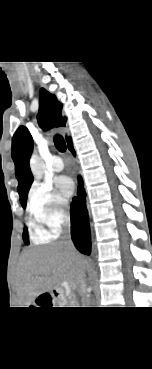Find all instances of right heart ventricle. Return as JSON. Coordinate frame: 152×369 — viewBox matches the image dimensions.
<instances>
[{
	"label": "right heart ventricle",
	"instance_id": "e07e8e85",
	"mask_svg": "<svg viewBox=\"0 0 152 369\" xmlns=\"http://www.w3.org/2000/svg\"><path fill=\"white\" fill-rule=\"evenodd\" d=\"M30 225H31V228L33 230V234L36 240L44 241L52 237V236L47 235L34 220L30 222Z\"/></svg>",
	"mask_w": 152,
	"mask_h": 369
}]
</instances>
